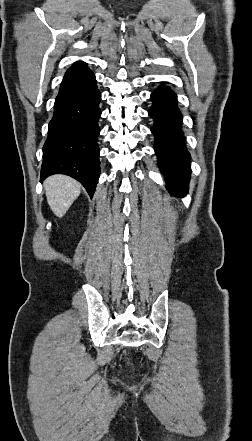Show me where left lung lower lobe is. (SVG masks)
<instances>
[{"mask_svg":"<svg viewBox=\"0 0 252 441\" xmlns=\"http://www.w3.org/2000/svg\"><path fill=\"white\" fill-rule=\"evenodd\" d=\"M150 99L153 103L148 113L155 122L151 131L155 136L158 165L166 177L168 190L175 195H184L188 192L191 174L190 154L181 127L182 114L177 96L162 84Z\"/></svg>","mask_w":252,"mask_h":441,"instance_id":"0a47b994","label":"left lung lower lobe"}]
</instances>
